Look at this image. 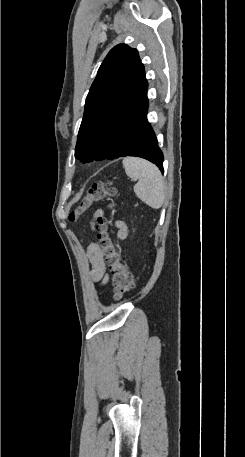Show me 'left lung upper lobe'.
Instances as JSON below:
<instances>
[{
	"label": "left lung upper lobe",
	"mask_w": 245,
	"mask_h": 457,
	"mask_svg": "<svg viewBox=\"0 0 245 457\" xmlns=\"http://www.w3.org/2000/svg\"><path fill=\"white\" fill-rule=\"evenodd\" d=\"M145 69L136 49L120 44L102 62L86 98L75 157L82 141L118 114L137 111L147 99Z\"/></svg>",
	"instance_id": "left-lung-upper-lobe-1"
}]
</instances>
